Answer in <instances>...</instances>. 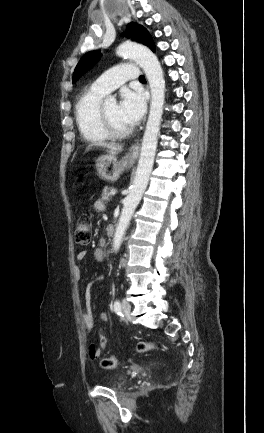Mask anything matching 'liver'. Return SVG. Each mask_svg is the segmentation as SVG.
I'll return each instance as SVG.
<instances>
[{
    "mask_svg": "<svg viewBox=\"0 0 264 433\" xmlns=\"http://www.w3.org/2000/svg\"><path fill=\"white\" fill-rule=\"evenodd\" d=\"M93 146H99V147H104L108 149V152L111 155H116L117 153L121 152L123 147L122 145H118L115 143H105V142H99V143H95V144H90L86 151H88L89 149H91Z\"/></svg>",
    "mask_w": 264,
    "mask_h": 433,
    "instance_id": "obj_1",
    "label": "liver"
}]
</instances>
